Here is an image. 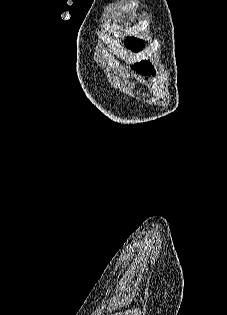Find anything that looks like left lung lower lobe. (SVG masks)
I'll list each match as a JSON object with an SVG mask.
<instances>
[{
  "label": "left lung lower lobe",
  "instance_id": "left-lung-lower-lobe-1",
  "mask_svg": "<svg viewBox=\"0 0 227 315\" xmlns=\"http://www.w3.org/2000/svg\"><path fill=\"white\" fill-rule=\"evenodd\" d=\"M142 49V45L136 50V52L140 51ZM135 69H138L140 72H152L154 74V70L152 68V65L146 61H143L139 64H136Z\"/></svg>",
  "mask_w": 227,
  "mask_h": 315
}]
</instances>
